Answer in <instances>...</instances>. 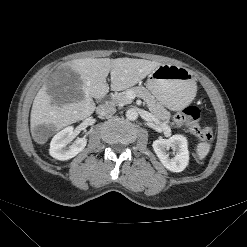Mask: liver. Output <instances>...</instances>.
<instances>
[{
  "label": "liver",
  "instance_id": "obj_1",
  "mask_svg": "<svg viewBox=\"0 0 247 247\" xmlns=\"http://www.w3.org/2000/svg\"><path fill=\"white\" fill-rule=\"evenodd\" d=\"M160 65L155 61L127 57L84 58L64 63L79 75V98L58 105L52 101L43 85L33 101L31 130L45 125L57 131L90 116L96 108L93 98H101L109 92L106 82L109 73L111 90L122 91L136 85Z\"/></svg>",
  "mask_w": 247,
  "mask_h": 247
}]
</instances>
